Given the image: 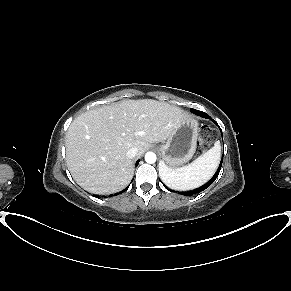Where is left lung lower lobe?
<instances>
[{"label": "left lung lower lobe", "instance_id": "obj_1", "mask_svg": "<svg viewBox=\"0 0 291 291\" xmlns=\"http://www.w3.org/2000/svg\"><path fill=\"white\" fill-rule=\"evenodd\" d=\"M192 113H194V114H196L198 116H201L203 118H206V119H211V117L207 113L199 111V110L193 109ZM222 162H223V159L221 160L215 175L206 184H204L203 186H201V187H199L197 189H194V190H191V191H188V192H181V193L178 192V193H180L182 195H185V196H193V195H196V194L202 192L203 190L207 189L215 181V179L218 177L219 172H220L221 167H222Z\"/></svg>", "mask_w": 291, "mask_h": 291}]
</instances>
